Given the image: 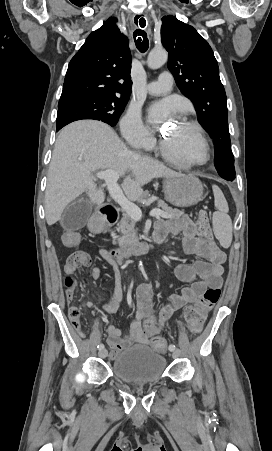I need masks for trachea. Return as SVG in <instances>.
I'll return each instance as SVG.
<instances>
[{
    "instance_id": "obj_1",
    "label": "trachea",
    "mask_w": 272,
    "mask_h": 451,
    "mask_svg": "<svg viewBox=\"0 0 272 451\" xmlns=\"http://www.w3.org/2000/svg\"><path fill=\"white\" fill-rule=\"evenodd\" d=\"M139 16L137 17V19ZM137 24V20H135ZM139 25L144 28L146 25V20L144 18L139 19ZM135 45L138 48V50L142 53L146 52L148 50L149 42L146 33L143 30H136L133 34Z\"/></svg>"
}]
</instances>
